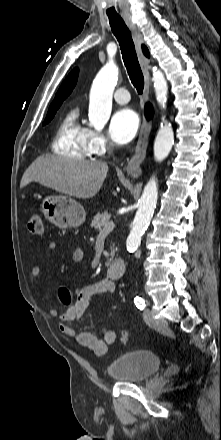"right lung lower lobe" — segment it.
Instances as JSON below:
<instances>
[{
    "label": "right lung lower lobe",
    "instance_id": "obj_1",
    "mask_svg": "<svg viewBox=\"0 0 221 440\" xmlns=\"http://www.w3.org/2000/svg\"><path fill=\"white\" fill-rule=\"evenodd\" d=\"M145 115L147 116V118H150L152 115V108L149 104L145 106Z\"/></svg>",
    "mask_w": 221,
    "mask_h": 440
}]
</instances>
